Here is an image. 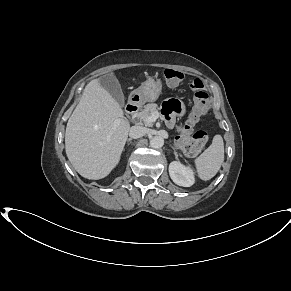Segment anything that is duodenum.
<instances>
[{
  "label": "duodenum",
  "instance_id": "1",
  "mask_svg": "<svg viewBox=\"0 0 291 291\" xmlns=\"http://www.w3.org/2000/svg\"><path fill=\"white\" fill-rule=\"evenodd\" d=\"M126 111L129 114H135L138 112V105L137 103L130 101L127 105H126Z\"/></svg>",
  "mask_w": 291,
  "mask_h": 291
}]
</instances>
